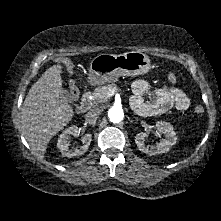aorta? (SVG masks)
<instances>
[{
  "mask_svg": "<svg viewBox=\"0 0 221 221\" xmlns=\"http://www.w3.org/2000/svg\"><path fill=\"white\" fill-rule=\"evenodd\" d=\"M108 117L111 122L119 123L124 118V111L119 106H113L108 110Z\"/></svg>",
  "mask_w": 221,
  "mask_h": 221,
  "instance_id": "762f6f07",
  "label": "aorta"
}]
</instances>
